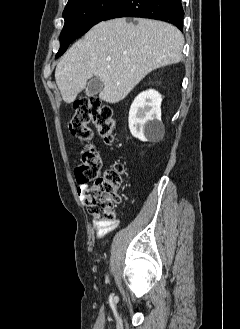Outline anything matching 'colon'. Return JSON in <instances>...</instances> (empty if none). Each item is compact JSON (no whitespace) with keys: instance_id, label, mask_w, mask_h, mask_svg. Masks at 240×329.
I'll return each mask as SVG.
<instances>
[{"instance_id":"colon-1","label":"colon","mask_w":240,"mask_h":329,"mask_svg":"<svg viewBox=\"0 0 240 329\" xmlns=\"http://www.w3.org/2000/svg\"><path fill=\"white\" fill-rule=\"evenodd\" d=\"M75 114L69 129L71 134L86 145L81 160L74 170L78 184L92 183L84 192V203L88 212L97 221L113 219L114 212L121 202L120 189L123 184L122 163H115L103 175L102 160L97 150L90 145L93 124L100 137L108 142L114 139L115 117L113 109L98 97L82 98L74 103Z\"/></svg>"}]
</instances>
